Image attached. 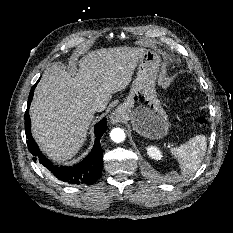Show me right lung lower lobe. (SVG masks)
I'll use <instances>...</instances> for the list:
<instances>
[{"label":"right lung lower lobe","instance_id":"1","mask_svg":"<svg viewBox=\"0 0 233 233\" xmlns=\"http://www.w3.org/2000/svg\"><path fill=\"white\" fill-rule=\"evenodd\" d=\"M32 87L29 99H28V107L25 112V130H26V138L28 149L33 155L34 161H39L44 167H46L50 173L56 177L57 179L69 183V184H94L101 175L102 171V157L103 151L100 145V138L104 134L107 129L106 119H102L95 125V143L94 147L89 153V155L79 164L69 167H57L54 166L44 155H42L39 150L36 142L34 141L31 135V120L29 116V107L33 98L34 89L37 85Z\"/></svg>","mask_w":233,"mask_h":233}]
</instances>
